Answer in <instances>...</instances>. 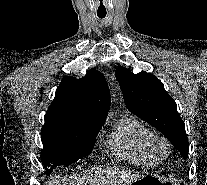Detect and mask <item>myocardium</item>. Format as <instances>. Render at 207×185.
Here are the masks:
<instances>
[{"mask_svg":"<svg viewBox=\"0 0 207 185\" xmlns=\"http://www.w3.org/2000/svg\"><path fill=\"white\" fill-rule=\"evenodd\" d=\"M154 147L161 157H168L172 154V145L164 137L154 138Z\"/></svg>","mask_w":207,"mask_h":185,"instance_id":"myocardium-1","label":"myocardium"}]
</instances>
